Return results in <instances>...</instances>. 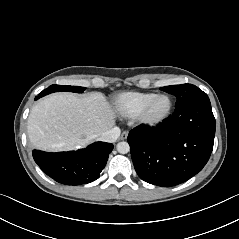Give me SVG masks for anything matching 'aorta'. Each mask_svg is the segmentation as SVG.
Instances as JSON below:
<instances>
[{
  "label": "aorta",
  "mask_w": 239,
  "mask_h": 239,
  "mask_svg": "<svg viewBox=\"0 0 239 239\" xmlns=\"http://www.w3.org/2000/svg\"><path fill=\"white\" fill-rule=\"evenodd\" d=\"M117 151L120 153V154H126L130 151V146L127 142H119L117 144Z\"/></svg>",
  "instance_id": "762f6f07"
}]
</instances>
